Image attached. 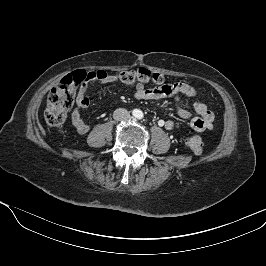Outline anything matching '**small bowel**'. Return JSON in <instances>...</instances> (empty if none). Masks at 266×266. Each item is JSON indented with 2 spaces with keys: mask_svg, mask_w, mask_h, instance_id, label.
Segmentation results:
<instances>
[{
  "mask_svg": "<svg viewBox=\"0 0 266 266\" xmlns=\"http://www.w3.org/2000/svg\"><path fill=\"white\" fill-rule=\"evenodd\" d=\"M90 80L99 81L102 85H108L117 81V76L110 75L104 70H97L88 73ZM180 95L195 98L197 96L196 89L187 83H165L162 81L158 86L147 89L144 84H136L135 97L139 100H157L167 97H173L175 100V108L177 114L183 118L190 120L191 127L197 132H203L213 129L214 114L209 109L207 103L204 100H196L193 102V109L197 116H193L192 113L179 105ZM90 104L87 96V86L82 85L76 97V107L74 108L71 121L80 134H85L89 131V125L84 121L81 115V111L86 109ZM167 130H172L176 127V123L173 120H167L164 124Z\"/></svg>",
  "mask_w": 266,
  "mask_h": 266,
  "instance_id": "1",
  "label": "small bowel"
}]
</instances>
